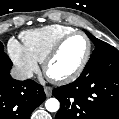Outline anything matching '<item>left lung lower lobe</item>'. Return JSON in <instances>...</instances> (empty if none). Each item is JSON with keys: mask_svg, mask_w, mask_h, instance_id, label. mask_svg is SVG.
Returning <instances> with one entry per match:
<instances>
[{"mask_svg": "<svg viewBox=\"0 0 119 119\" xmlns=\"http://www.w3.org/2000/svg\"><path fill=\"white\" fill-rule=\"evenodd\" d=\"M56 119H119V51L111 46L89 60L77 80L55 88Z\"/></svg>", "mask_w": 119, "mask_h": 119, "instance_id": "0a47b994", "label": "left lung lower lobe"}]
</instances>
